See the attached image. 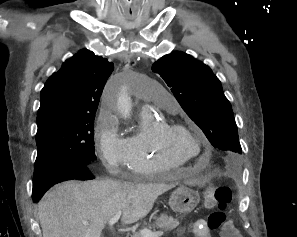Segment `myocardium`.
I'll return each instance as SVG.
<instances>
[{
    "label": "myocardium",
    "instance_id": "myocardium-1",
    "mask_svg": "<svg viewBox=\"0 0 297 237\" xmlns=\"http://www.w3.org/2000/svg\"><path fill=\"white\" fill-rule=\"evenodd\" d=\"M175 132H183L191 136L197 142L199 146L197 155L184 156L173 147H171L169 143V136ZM201 141L202 139L196 132H194L190 127L180 123H163L157 128L154 136L155 146L163 156L176 159L183 163L194 160L204 151Z\"/></svg>",
    "mask_w": 297,
    "mask_h": 237
}]
</instances>
